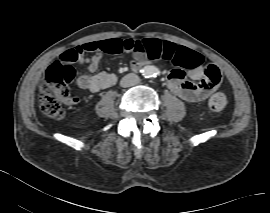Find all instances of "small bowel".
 Instances as JSON below:
<instances>
[{"label":"small bowel","mask_w":270,"mask_h":213,"mask_svg":"<svg viewBox=\"0 0 270 213\" xmlns=\"http://www.w3.org/2000/svg\"><path fill=\"white\" fill-rule=\"evenodd\" d=\"M109 41L98 40L83 42L77 45L82 51L79 60L82 73L77 79L79 88L98 92L116 83L117 79L114 74L105 72L94 74L98 69L102 53L107 52ZM144 41L147 44L153 43L155 47L145 56L146 59L143 57L144 55L134 58L131 62V68L134 71H138L149 59L171 60L174 67L168 71L166 81L169 88L183 100L191 103L201 102L219 85L221 74L217 78L206 74L205 67L194 64L196 54L189 49L162 39H148ZM90 52L94 54L89 59H86L84 55ZM186 76L193 80V82L187 80Z\"/></svg>","instance_id":"1"}]
</instances>
